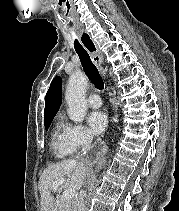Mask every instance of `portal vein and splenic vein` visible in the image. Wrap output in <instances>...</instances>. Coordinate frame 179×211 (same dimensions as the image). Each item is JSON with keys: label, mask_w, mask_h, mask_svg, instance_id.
<instances>
[{"label": "portal vein and splenic vein", "mask_w": 179, "mask_h": 211, "mask_svg": "<svg viewBox=\"0 0 179 211\" xmlns=\"http://www.w3.org/2000/svg\"><path fill=\"white\" fill-rule=\"evenodd\" d=\"M64 183H65L64 179L57 180L53 183V188H57L59 185H62ZM75 194H76V191L74 189L68 188L63 192L62 196L65 199H71V198H74Z\"/></svg>", "instance_id": "obj_1"}]
</instances>
